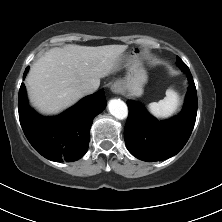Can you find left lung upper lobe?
<instances>
[{
  "label": "left lung upper lobe",
  "instance_id": "5c2ea615",
  "mask_svg": "<svg viewBox=\"0 0 222 222\" xmlns=\"http://www.w3.org/2000/svg\"><path fill=\"white\" fill-rule=\"evenodd\" d=\"M176 64L177 67L180 68L182 71L189 69L187 65L179 57H177Z\"/></svg>",
  "mask_w": 222,
  "mask_h": 222
}]
</instances>
